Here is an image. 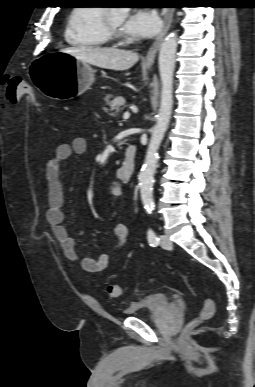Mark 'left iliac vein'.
<instances>
[{
	"mask_svg": "<svg viewBox=\"0 0 255 387\" xmlns=\"http://www.w3.org/2000/svg\"><path fill=\"white\" fill-rule=\"evenodd\" d=\"M160 246L164 249L172 248V242L167 235H160Z\"/></svg>",
	"mask_w": 255,
	"mask_h": 387,
	"instance_id": "obj_1",
	"label": "left iliac vein"
}]
</instances>
